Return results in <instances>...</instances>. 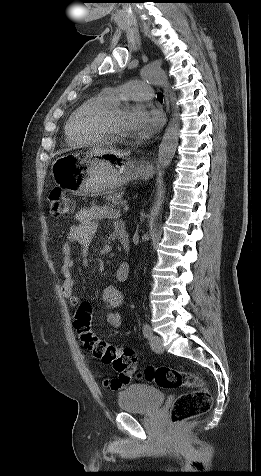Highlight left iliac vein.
Returning a JSON list of instances; mask_svg holds the SVG:
<instances>
[{"mask_svg":"<svg viewBox=\"0 0 261 476\" xmlns=\"http://www.w3.org/2000/svg\"><path fill=\"white\" fill-rule=\"evenodd\" d=\"M150 347L156 353H162L164 351L163 341L158 335H151L149 338Z\"/></svg>","mask_w":261,"mask_h":476,"instance_id":"4c4485c4","label":"left iliac vein"}]
</instances>
